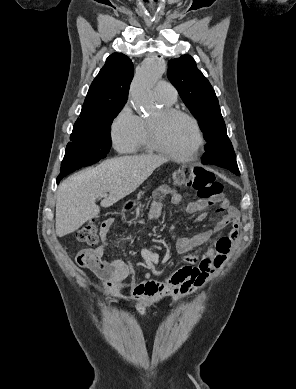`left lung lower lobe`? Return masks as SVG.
<instances>
[{
  "instance_id": "1",
  "label": "left lung lower lobe",
  "mask_w": 296,
  "mask_h": 389,
  "mask_svg": "<svg viewBox=\"0 0 296 389\" xmlns=\"http://www.w3.org/2000/svg\"><path fill=\"white\" fill-rule=\"evenodd\" d=\"M202 164H213L240 175L233 146L226 131L222 132L214 143L204 150Z\"/></svg>"
}]
</instances>
